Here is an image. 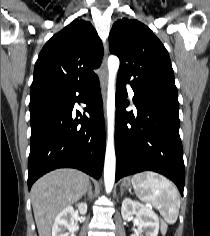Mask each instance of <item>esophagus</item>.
I'll return each mask as SVG.
<instances>
[{
  "instance_id": "esophagus-1",
  "label": "esophagus",
  "mask_w": 210,
  "mask_h": 236,
  "mask_svg": "<svg viewBox=\"0 0 210 236\" xmlns=\"http://www.w3.org/2000/svg\"><path fill=\"white\" fill-rule=\"evenodd\" d=\"M107 57H108V48L106 47L104 51L102 65H101V71H102L101 90H102V97H103V104H104V112L106 108V87H107V80H108Z\"/></svg>"
}]
</instances>
